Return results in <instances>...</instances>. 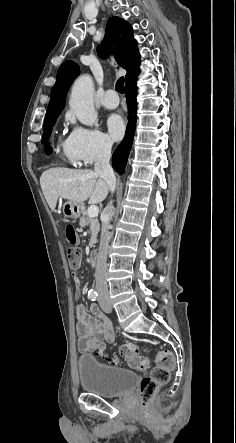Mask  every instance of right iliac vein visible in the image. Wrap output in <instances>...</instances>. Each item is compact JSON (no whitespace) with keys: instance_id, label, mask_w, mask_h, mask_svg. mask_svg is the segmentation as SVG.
<instances>
[{"instance_id":"1","label":"right iliac vein","mask_w":236,"mask_h":443,"mask_svg":"<svg viewBox=\"0 0 236 443\" xmlns=\"http://www.w3.org/2000/svg\"><path fill=\"white\" fill-rule=\"evenodd\" d=\"M105 307H107V308H110L111 307V305H109V304H106V305H104Z\"/></svg>"}]
</instances>
